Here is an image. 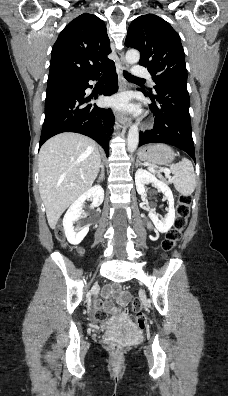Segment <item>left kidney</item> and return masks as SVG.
<instances>
[{
    "instance_id": "left-kidney-1",
    "label": "left kidney",
    "mask_w": 228,
    "mask_h": 396,
    "mask_svg": "<svg viewBox=\"0 0 228 396\" xmlns=\"http://www.w3.org/2000/svg\"><path fill=\"white\" fill-rule=\"evenodd\" d=\"M135 184L137 192L141 196L146 195L145 185L147 184H152L154 187L164 193L169 204V207L167 209L168 213L166 214L164 219H159L158 215L155 214L154 210L150 208H147V211L149 212V218L152 220L156 229L161 233L168 232L175 221L174 197L169 186L165 182L158 180L153 174L142 168L138 169L135 173Z\"/></svg>"
}]
</instances>
